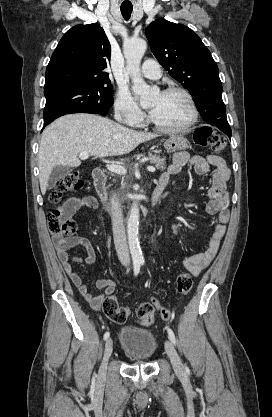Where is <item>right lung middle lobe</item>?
I'll return each mask as SVG.
<instances>
[{"label":"right lung middle lobe","instance_id":"right-lung-middle-lobe-1","mask_svg":"<svg viewBox=\"0 0 272 417\" xmlns=\"http://www.w3.org/2000/svg\"><path fill=\"white\" fill-rule=\"evenodd\" d=\"M44 94V123L72 110H92L106 115L113 104L111 85L59 87L44 91Z\"/></svg>","mask_w":272,"mask_h":417}]
</instances>
